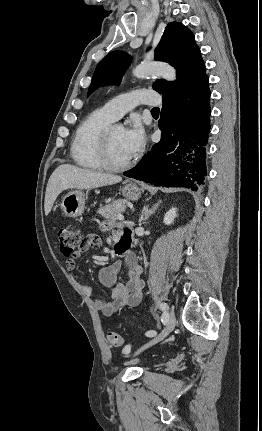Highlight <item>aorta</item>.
Listing matches in <instances>:
<instances>
[{
  "label": "aorta",
  "mask_w": 262,
  "mask_h": 431,
  "mask_svg": "<svg viewBox=\"0 0 262 431\" xmlns=\"http://www.w3.org/2000/svg\"><path fill=\"white\" fill-rule=\"evenodd\" d=\"M133 75L137 78L162 77L167 81L176 79V70L166 63L143 62L135 67Z\"/></svg>",
  "instance_id": "1"
}]
</instances>
